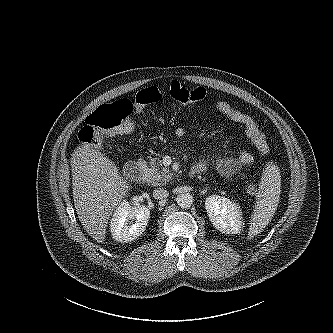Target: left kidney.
<instances>
[{"label": "left kidney", "mask_w": 333, "mask_h": 333, "mask_svg": "<svg viewBox=\"0 0 333 333\" xmlns=\"http://www.w3.org/2000/svg\"><path fill=\"white\" fill-rule=\"evenodd\" d=\"M205 209L213 226L222 233H240L243 222L239 205L230 199L212 195L205 200Z\"/></svg>", "instance_id": "1"}]
</instances>
